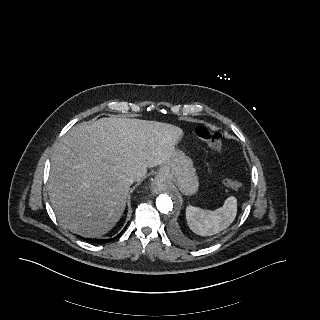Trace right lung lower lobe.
<instances>
[{"instance_id": "right-lung-lower-lobe-1", "label": "right lung lower lobe", "mask_w": 320, "mask_h": 320, "mask_svg": "<svg viewBox=\"0 0 320 320\" xmlns=\"http://www.w3.org/2000/svg\"><path fill=\"white\" fill-rule=\"evenodd\" d=\"M126 227L124 228V230L118 236H120L125 231ZM82 239H84V240H86L87 242H90V243H98V244H104V243H107V242L112 240V239L106 240V239H86V238H82Z\"/></svg>"}]
</instances>
